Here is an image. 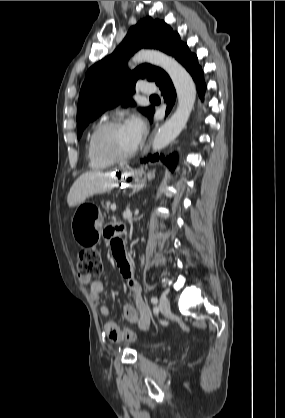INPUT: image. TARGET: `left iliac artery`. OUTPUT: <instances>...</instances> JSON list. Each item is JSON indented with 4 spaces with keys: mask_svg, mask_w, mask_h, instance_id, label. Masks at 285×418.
Segmentation results:
<instances>
[{
    "mask_svg": "<svg viewBox=\"0 0 285 418\" xmlns=\"http://www.w3.org/2000/svg\"><path fill=\"white\" fill-rule=\"evenodd\" d=\"M150 301L151 303L156 304L158 302V299L156 297H151Z\"/></svg>",
    "mask_w": 285,
    "mask_h": 418,
    "instance_id": "obj_1",
    "label": "left iliac artery"
}]
</instances>
